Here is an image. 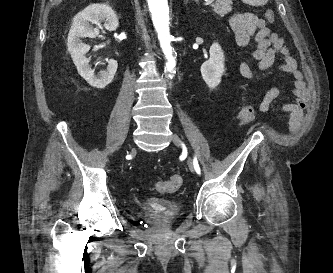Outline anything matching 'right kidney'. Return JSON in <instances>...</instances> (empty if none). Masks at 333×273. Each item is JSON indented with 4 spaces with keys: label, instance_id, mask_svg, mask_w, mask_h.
<instances>
[{
    "label": "right kidney",
    "instance_id": "obj_1",
    "mask_svg": "<svg viewBox=\"0 0 333 273\" xmlns=\"http://www.w3.org/2000/svg\"><path fill=\"white\" fill-rule=\"evenodd\" d=\"M102 22H104L103 25L101 24ZM92 24H95L96 27L94 28ZM118 25L119 22L116 14L107 3L90 4L73 18V23L68 34V51L80 76L89 85L98 89H103L112 82L118 64L114 59L107 60L106 71L96 76L94 69L89 65L90 59L86 57L90 46L82 43L81 38H95L99 35V30L103 27L108 31H115Z\"/></svg>",
    "mask_w": 333,
    "mask_h": 273
}]
</instances>
